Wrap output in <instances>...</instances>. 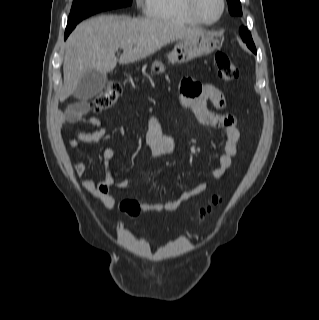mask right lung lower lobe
<instances>
[{"label": "right lung lower lobe", "mask_w": 319, "mask_h": 320, "mask_svg": "<svg viewBox=\"0 0 319 320\" xmlns=\"http://www.w3.org/2000/svg\"><path fill=\"white\" fill-rule=\"evenodd\" d=\"M73 29H71V30H66L65 31V39L68 37V35L70 34V32L72 31Z\"/></svg>", "instance_id": "98d812e1"}]
</instances>
